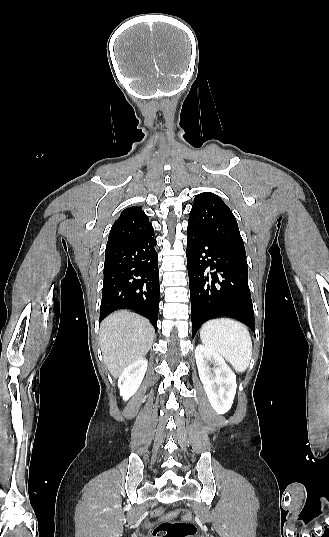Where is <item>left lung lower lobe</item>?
Wrapping results in <instances>:
<instances>
[{"mask_svg": "<svg viewBox=\"0 0 329 537\" xmlns=\"http://www.w3.org/2000/svg\"><path fill=\"white\" fill-rule=\"evenodd\" d=\"M187 263L192 336L204 322L219 316L236 318L255 333L246 256L188 225Z\"/></svg>", "mask_w": 329, "mask_h": 537, "instance_id": "left-lung-lower-lobe-1", "label": "left lung lower lobe"}]
</instances>
